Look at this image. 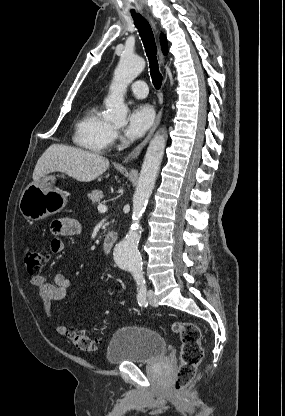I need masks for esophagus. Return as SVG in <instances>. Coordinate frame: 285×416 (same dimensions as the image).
Returning a JSON list of instances; mask_svg holds the SVG:
<instances>
[{
  "label": "esophagus",
  "mask_w": 285,
  "mask_h": 416,
  "mask_svg": "<svg viewBox=\"0 0 285 416\" xmlns=\"http://www.w3.org/2000/svg\"><path fill=\"white\" fill-rule=\"evenodd\" d=\"M148 18H149V21H150V23L152 25V28L154 29V31L156 33V36L158 38L159 35H158V30H157V27L155 25V22L152 19V17H149L148 16ZM158 45H159V40H158ZM158 53H159L161 67H162V70L164 71L165 57H164V55L162 53V50H161L160 45L158 46ZM166 79H167V77L165 76L164 77V81H163V85L166 83ZM162 112H163V106L159 110V112H158V114L156 116V119H155L152 127L150 128V130H149L148 135L146 136V138H144V140L141 141V143H139V145L127 157L124 158V160H123L124 163H127L128 161L133 160L134 158H136L141 153V151L143 150V148L147 145V143L149 142L150 138L154 134L156 128L158 127V125H159V123L161 121Z\"/></svg>",
  "instance_id": "1"
}]
</instances>
